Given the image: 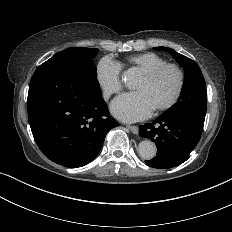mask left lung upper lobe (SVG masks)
Here are the masks:
<instances>
[{"label": "left lung upper lobe", "instance_id": "left-lung-upper-lobe-1", "mask_svg": "<svg viewBox=\"0 0 232 232\" xmlns=\"http://www.w3.org/2000/svg\"><path fill=\"white\" fill-rule=\"evenodd\" d=\"M155 50L169 52L185 70L184 85L178 101L162 115L180 117L199 129H203L206 108V83L198 64L192 59L181 55L167 47H155Z\"/></svg>", "mask_w": 232, "mask_h": 232}]
</instances>
